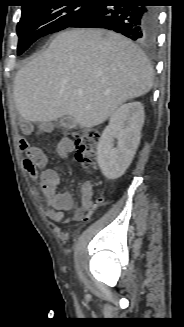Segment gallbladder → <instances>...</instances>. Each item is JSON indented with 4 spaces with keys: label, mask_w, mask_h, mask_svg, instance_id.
<instances>
[{
    "label": "gallbladder",
    "mask_w": 184,
    "mask_h": 327,
    "mask_svg": "<svg viewBox=\"0 0 184 327\" xmlns=\"http://www.w3.org/2000/svg\"><path fill=\"white\" fill-rule=\"evenodd\" d=\"M77 122L76 119L73 116H65L60 119L59 121V127L65 128V129H71L76 126Z\"/></svg>",
    "instance_id": "obj_1"
}]
</instances>
